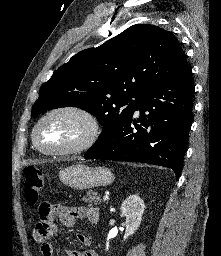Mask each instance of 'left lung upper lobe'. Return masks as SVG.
I'll return each instance as SVG.
<instances>
[{"instance_id": "1", "label": "left lung upper lobe", "mask_w": 221, "mask_h": 256, "mask_svg": "<svg viewBox=\"0 0 221 256\" xmlns=\"http://www.w3.org/2000/svg\"><path fill=\"white\" fill-rule=\"evenodd\" d=\"M186 63L171 32L150 24L133 25L59 67L41 86L31 115L78 107L96 116L102 136L126 122L154 86Z\"/></svg>"}]
</instances>
